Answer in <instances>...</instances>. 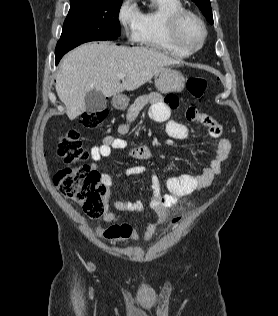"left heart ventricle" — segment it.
<instances>
[{"instance_id":"b2bd125f","label":"left heart ventricle","mask_w":278,"mask_h":316,"mask_svg":"<svg viewBox=\"0 0 278 316\" xmlns=\"http://www.w3.org/2000/svg\"><path fill=\"white\" fill-rule=\"evenodd\" d=\"M185 33L187 38L192 43H197L201 38V29L197 23L188 20L185 25Z\"/></svg>"}]
</instances>
